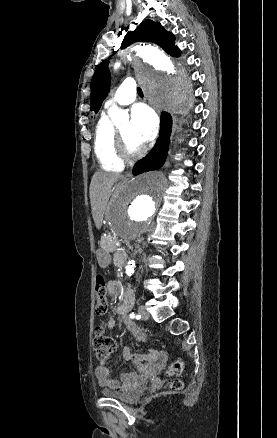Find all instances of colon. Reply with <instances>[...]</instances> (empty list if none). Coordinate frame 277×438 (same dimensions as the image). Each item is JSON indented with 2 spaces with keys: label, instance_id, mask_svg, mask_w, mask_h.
Returning <instances> with one entry per match:
<instances>
[{
  "label": "colon",
  "instance_id": "1",
  "mask_svg": "<svg viewBox=\"0 0 277 438\" xmlns=\"http://www.w3.org/2000/svg\"><path fill=\"white\" fill-rule=\"evenodd\" d=\"M96 303L95 311L97 314L105 315L109 309L107 301L106 279L102 274H97L95 280ZM93 347L97 357L105 361L115 348L113 337L108 334L103 326H97L93 336ZM184 363L181 359L174 360L166 372L167 376H176L183 372ZM172 389H188V380H172Z\"/></svg>",
  "mask_w": 277,
  "mask_h": 438
}]
</instances>
